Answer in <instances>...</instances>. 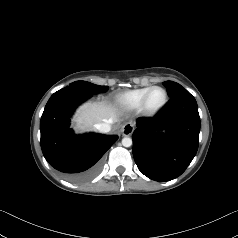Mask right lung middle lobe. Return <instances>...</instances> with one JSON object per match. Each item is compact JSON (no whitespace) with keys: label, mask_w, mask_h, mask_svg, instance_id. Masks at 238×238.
<instances>
[{"label":"right lung middle lobe","mask_w":238,"mask_h":238,"mask_svg":"<svg viewBox=\"0 0 238 238\" xmlns=\"http://www.w3.org/2000/svg\"><path fill=\"white\" fill-rule=\"evenodd\" d=\"M70 86H78L82 90L90 94L101 93L108 90V86H99L86 81H75L71 83Z\"/></svg>","instance_id":"1"}]
</instances>
